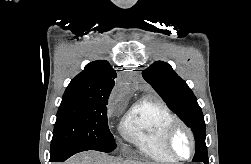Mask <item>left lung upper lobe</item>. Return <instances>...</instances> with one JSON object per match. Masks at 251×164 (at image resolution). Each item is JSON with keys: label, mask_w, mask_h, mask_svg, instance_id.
Listing matches in <instances>:
<instances>
[{"label": "left lung upper lobe", "mask_w": 251, "mask_h": 164, "mask_svg": "<svg viewBox=\"0 0 251 164\" xmlns=\"http://www.w3.org/2000/svg\"><path fill=\"white\" fill-rule=\"evenodd\" d=\"M142 75L169 108L183 118L192 129L196 139L193 162L208 164L204 117L192 90L169 64L162 61L154 62Z\"/></svg>", "instance_id": "left-lung-upper-lobe-1"}]
</instances>
